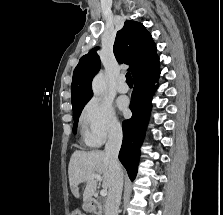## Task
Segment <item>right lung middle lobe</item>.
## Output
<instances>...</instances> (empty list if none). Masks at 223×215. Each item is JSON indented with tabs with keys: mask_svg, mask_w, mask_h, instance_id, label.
I'll use <instances>...</instances> for the list:
<instances>
[{
	"mask_svg": "<svg viewBox=\"0 0 223 215\" xmlns=\"http://www.w3.org/2000/svg\"><path fill=\"white\" fill-rule=\"evenodd\" d=\"M83 107H84V105H81V106L76 107V108L73 109V118H74V121H75L74 126H73L74 134L76 133L78 118L80 116V113H81Z\"/></svg>",
	"mask_w": 223,
	"mask_h": 215,
	"instance_id": "1",
	"label": "right lung middle lobe"
}]
</instances>
